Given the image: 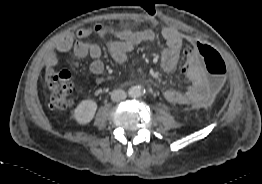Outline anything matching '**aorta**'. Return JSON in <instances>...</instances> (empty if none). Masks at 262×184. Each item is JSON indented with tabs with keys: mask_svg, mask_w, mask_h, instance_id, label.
<instances>
[{
	"mask_svg": "<svg viewBox=\"0 0 262 184\" xmlns=\"http://www.w3.org/2000/svg\"><path fill=\"white\" fill-rule=\"evenodd\" d=\"M143 93L141 86H133L129 89V96L132 98L140 97Z\"/></svg>",
	"mask_w": 262,
	"mask_h": 184,
	"instance_id": "762f6f07",
	"label": "aorta"
}]
</instances>
